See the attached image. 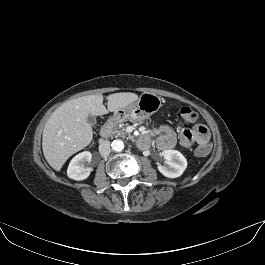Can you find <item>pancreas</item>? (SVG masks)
Returning a JSON list of instances; mask_svg holds the SVG:
<instances>
[{
    "instance_id": "1",
    "label": "pancreas",
    "mask_w": 265,
    "mask_h": 265,
    "mask_svg": "<svg viewBox=\"0 0 265 265\" xmlns=\"http://www.w3.org/2000/svg\"><path fill=\"white\" fill-rule=\"evenodd\" d=\"M126 126L127 123H117L113 126L112 128V135H114L115 137H126Z\"/></svg>"
}]
</instances>
